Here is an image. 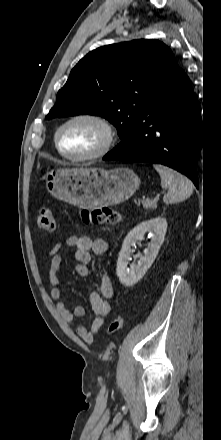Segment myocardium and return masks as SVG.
Masks as SVG:
<instances>
[{
  "mask_svg": "<svg viewBox=\"0 0 221 440\" xmlns=\"http://www.w3.org/2000/svg\"><path fill=\"white\" fill-rule=\"evenodd\" d=\"M77 121H86V122L94 123L102 130L103 133L102 143L94 152L81 156H73L66 154L60 148L59 137L61 132L65 127ZM115 140H116V132L114 130L112 123L104 116L90 112L79 113L71 116L70 118H68L59 125L54 135V143L58 153L66 160L72 162H85L103 157L112 149Z\"/></svg>",
  "mask_w": 221,
  "mask_h": 440,
  "instance_id": "obj_1",
  "label": "myocardium"
}]
</instances>
